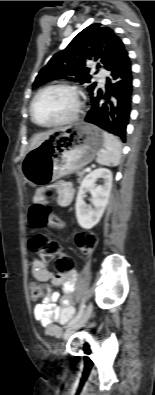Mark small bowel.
Listing matches in <instances>:
<instances>
[{
  "label": "small bowel",
  "mask_w": 155,
  "mask_h": 395,
  "mask_svg": "<svg viewBox=\"0 0 155 395\" xmlns=\"http://www.w3.org/2000/svg\"><path fill=\"white\" fill-rule=\"evenodd\" d=\"M55 186L58 190V203L60 205L69 204L73 197L72 186L65 182H60ZM51 223L59 228L64 226L63 222L56 217L51 218ZM31 267L32 274L37 280L62 287L61 291L49 290L43 301L34 307L33 312L34 318L45 327L47 335L60 336L61 330L56 323H66L74 313L70 303L78 279L77 271L60 275L59 272L50 271L45 262L38 257L32 258ZM60 297H62V305L55 306Z\"/></svg>",
  "instance_id": "1"
}]
</instances>
